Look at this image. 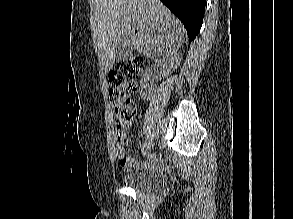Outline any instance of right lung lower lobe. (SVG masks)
<instances>
[{
	"mask_svg": "<svg viewBox=\"0 0 293 219\" xmlns=\"http://www.w3.org/2000/svg\"><path fill=\"white\" fill-rule=\"evenodd\" d=\"M161 1L182 21L189 40H193L202 26L206 0Z\"/></svg>",
	"mask_w": 293,
	"mask_h": 219,
	"instance_id": "right-lung-lower-lobe-1",
	"label": "right lung lower lobe"
}]
</instances>
